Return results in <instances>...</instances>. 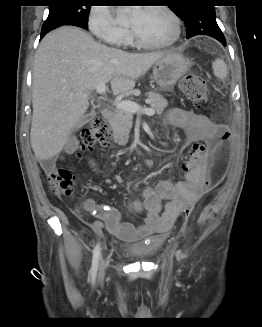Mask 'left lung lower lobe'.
I'll use <instances>...</instances> for the list:
<instances>
[{"label":"left lung lower lobe","instance_id":"obj_1","mask_svg":"<svg viewBox=\"0 0 262 327\" xmlns=\"http://www.w3.org/2000/svg\"><path fill=\"white\" fill-rule=\"evenodd\" d=\"M204 31H205V33H204ZM204 31H202V32L194 31L192 34L187 35V38H191L195 35H208L210 37L217 39L224 46H226V40H225V37H224L222 31L220 30V28H219V30H211V31L204 30Z\"/></svg>","mask_w":262,"mask_h":327}]
</instances>
